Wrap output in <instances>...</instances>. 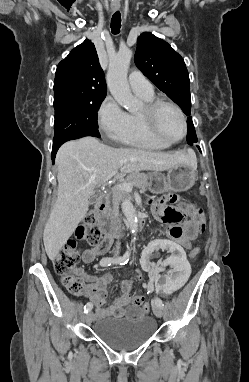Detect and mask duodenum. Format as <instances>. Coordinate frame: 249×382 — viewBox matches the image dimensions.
Returning <instances> with one entry per match:
<instances>
[{"instance_id": "1", "label": "duodenum", "mask_w": 249, "mask_h": 382, "mask_svg": "<svg viewBox=\"0 0 249 382\" xmlns=\"http://www.w3.org/2000/svg\"><path fill=\"white\" fill-rule=\"evenodd\" d=\"M96 215L101 221V227L106 237L114 238L124 237L129 235L124 229H122L119 224L112 220L110 217L106 215L108 209L107 197L104 194H100L97 198L96 205ZM145 224L144 217L142 215H138L136 222V230H140L143 228Z\"/></svg>"}]
</instances>
